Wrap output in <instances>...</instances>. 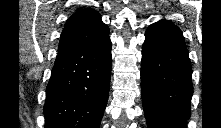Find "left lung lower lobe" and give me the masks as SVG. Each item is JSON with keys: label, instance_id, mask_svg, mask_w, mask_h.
Returning a JSON list of instances; mask_svg holds the SVG:
<instances>
[{"label": "left lung lower lobe", "instance_id": "left-lung-lower-lobe-1", "mask_svg": "<svg viewBox=\"0 0 221 128\" xmlns=\"http://www.w3.org/2000/svg\"><path fill=\"white\" fill-rule=\"evenodd\" d=\"M141 92L148 128H184L191 116L192 68L180 29L160 20L146 30Z\"/></svg>", "mask_w": 221, "mask_h": 128}]
</instances>
